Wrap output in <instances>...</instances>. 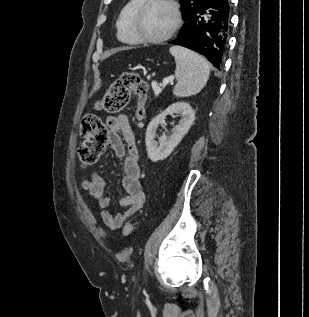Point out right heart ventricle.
Returning <instances> with one entry per match:
<instances>
[{
    "label": "right heart ventricle",
    "mask_w": 309,
    "mask_h": 317,
    "mask_svg": "<svg viewBox=\"0 0 309 317\" xmlns=\"http://www.w3.org/2000/svg\"><path fill=\"white\" fill-rule=\"evenodd\" d=\"M142 2V0H129L121 9L117 21V37L118 39L125 44H137L139 41L136 39L131 30L130 19L132 13L136 7Z\"/></svg>",
    "instance_id": "1"
}]
</instances>
